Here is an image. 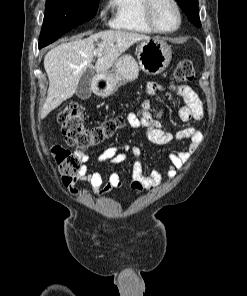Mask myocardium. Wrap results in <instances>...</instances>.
Segmentation results:
<instances>
[{
  "label": "myocardium",
  "mask_w": 247,
  "mask_h": 296,
  "mask_svg": "<svg viewBox=\"0 0 247 296\" xmlns=\"http://www.w3.org/2000/svg\"><path fill=\"white\" fill-rule=\"evenodd\" d=\"M167 1L174 7L177 15V24L173 29H170V30L161 29L155 20L154 9H155L157 0H146L145 7H144V15L148 24L155 32L161 33V34H171L176 32L180 28L182 23V14H181V9L178 2L176 0H167Z\"/></svg>",
  "instance_id": "myocardium-1"
}]
</instances>
